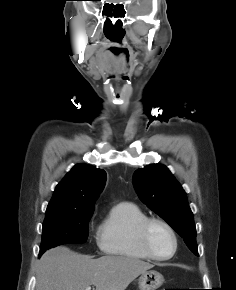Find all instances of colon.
<instances>
[{
    "label": "colon",
    "mask_w": 236,
    "mask_h": 290,
    "mask_svg": "<svg viewBox=\"0 0 236 290\" xmlns=\"http://www.w3.org/2000/svg\"><path fill=\"white\" fill-rule=\"evenodd\" d=\"M164 290H177V289H164Z\"/></svg>",
    "instance_id": "1"
}]
</instances>
